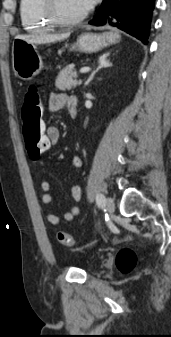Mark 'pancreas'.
Returning <instances> with one entry per match:
<instances>
[{"instance_id":"pancreas-1","label":"pancreas","mask_w":171,"mask_h":337,"mask_svg":"<svg viewBox=\"0 0 171 337\" xmlns=\"http://www.w3.org/2000/svg\"><path fill=\"white\" fill-rule=\"evenodd\" d=\"M74 65H68L63 68L55 82V86L60 90H70L82 83L81 80H77V74L73 71Z\"/></svg>"}]
</instances>
